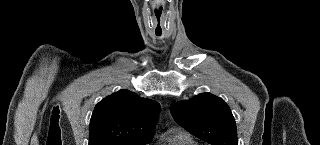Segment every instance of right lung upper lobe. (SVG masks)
Masks as SVG:
<instances>
[{"label":"right lung upper lobe","instance_id":"obj_1","mask_svg":"<svg viewBox=\"0 0 320 145\" xmlns=\"http://www.w3.org/2000/svg\"><path fill=\"white\" fill-rule=\"evenodd\" d=\"M160 104L120 90L100 101L90 121L89 145H144L154 135Z\"/></svg>","mask_w":320,"mask_h":145}]
</instances>
